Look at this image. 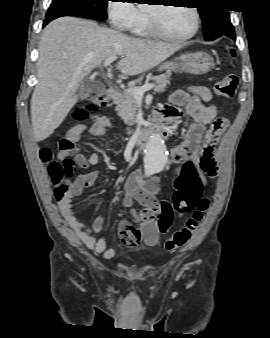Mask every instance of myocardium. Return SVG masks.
<instances>
[{"label": "myocardium", "instance_id": "obj_1", "mask_svg": "<svg viewBox=\"0 0 270 338\" xmlns=\"http://www.w3.org/2000/svg\"><path fill=\"white\" fill-rule=\"evenodd\" d=\"M152 6V5H150ZM154 6H160V7H169L166 5H154ZM189 9L192 10L194 17H195V27L193 29V31L187 35H183V36H176V35H172L167 33L166 31H164L159 23L158 20L156 18L155 13L151 10V8L148 9V23H149V27L150 30L152 32V34H154L157 37L166 39V40H170V41H184V40H188L193 38L199 31L200 28V15L197 11L196 8L189 6Z\"/></svg>", "mask_w": 270, "mask_h": 338}]
</instances>
